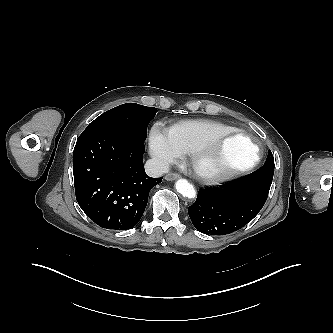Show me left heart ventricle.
I'll return each mask as SVG.
<instances>
[{
	"mask_svg": "<svg viewBox=\"0 0 333 333\" xmlns=\"http://www.w3.org/2000/svg\"><path fill=\"white\" fill-rule=\"evenodd\" d=\"M255 155V147L243 137H232L225 140L218 150L201 163L203 170H218L227 167L241 166Z\"/></svg>",
	"mask_w": 333,
	"mask_h": 333,
	"instance_id": "obj_1",
	"label": "left heart ventricle"
}]
</instances>
